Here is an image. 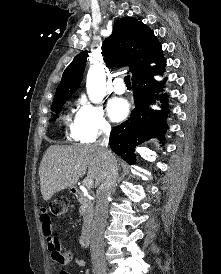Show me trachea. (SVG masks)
I'll return each mask as SVG.
<instances>
[{
	"label": "trachea",
	"instance_id": "obj_1",
	"mask_svg": "<svg viewBox=\"0 0 221 274\" xmlns=\"http://www.w3.org/2000/svg\"><path fill=\"white\" fill-rule=\"evenodd\" d=\"M124 81H125V84H126L127 86H131L130 76H129V75L125 76Z\"/></svg>",
	"mask_w": 221,
	"mask_h": 274
}]
</instances>
